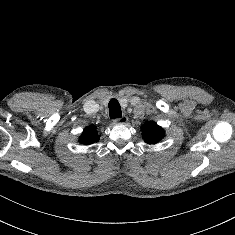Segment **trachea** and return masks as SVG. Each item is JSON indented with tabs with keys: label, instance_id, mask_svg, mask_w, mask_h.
I'll return each mask as SVG.
<instances>
[{
	"label": "trachea",
	"instance_id": "3493384b",
	"mask_svg": "<svg viewBox=\"0 0 235 235\" xmlns=\"http://www.w3.org/2000/svg\"><path fill=\"white\" fill-rule=\"evenodd\" d=\"M109 115L110 118H119L122 116L121 107L119 102L116 99H111L109 104Z\"/></svg>",
	"mask_w": 235,
	"mask_h": 235
}]
</instances>
